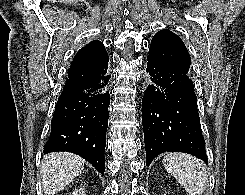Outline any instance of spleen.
Segmentation results:
<instances>
[{
    "label": "spleen",
    "mask_w": 245,
    "mask_h": 195,
    "mask_svg": "<svg viewBox=\"0 0 245 195\" xmlns=\"http://www.w3.org/2000/svg\"><path fill=\"white\" fill-rule=\"evenodd\" d=\"M165 169L177 180L189 195H203L208 173L201 160L189 154L168 153L164 156Z\"/></svg>",
    "instance_id": "spleen-1"
}]
</instances>
